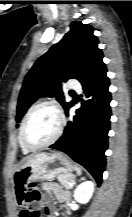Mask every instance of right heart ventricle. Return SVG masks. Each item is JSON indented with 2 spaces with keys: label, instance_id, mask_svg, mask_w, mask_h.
Wrapping results in <instances>:
<instances>
[{
  "label": "right heart ventricle",
  "instance_id": "obj_1",
  "mask_svg": "<svg viewBox=\"0 0 132 217\" xmlns=\"http://www.w3.org/2000/svg\"><path fill=\"white\" fill-rule=\"evenodd\" d=\"M18 139H19V143H20V146H21V148H22V151H23L24 153L29 152V150H27L26 148H24V147L22 146L21 142H20V133H19Z\"/></svg>",
  "mask_w": 132,
  "mask_h": 217
}]
</instances>
